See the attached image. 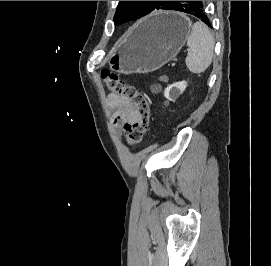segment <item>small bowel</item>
Listing matches in <instances>:
<instances>
[{
    "label": "small bowel",
    "instance_id": "obj_1",
    "mask_svg": "<svg viewBox=\"0 0 271 266\" xmlns=\"http://www.w3.org/2000/svg\"><path fill=\"white\" fill-rule=\"evenodd\" d=\"M107 101L109 106L115 109L113 122L116 126L134 122L137 119V113L128 99L111 94L108 96Z\"/></svg>",
    "mask_w": 271,
    "mask_h": 266
}]
</instances>
